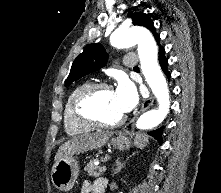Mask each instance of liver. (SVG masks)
Segmentation results:
<instances>
[{
  "instance_id": "liver-1",
  "label": "liver",
  "mask_w": 221,
  "mask_h": 193,
  "mask_svg": "<svg viewBox=\"0 0 221 193\" xmlns=\"http://www.w3.org/2000/svg\"><path fill=\"white\" fill-rule=\"evenodd\" d=\"M112 133L97 132L92 134H85L75 136L68 141L64 142L58 149L55 155V163L60 159L73 156L74 154L83 153L89 150H94L104 146Z\"/></svg>"
}]
</instances>
